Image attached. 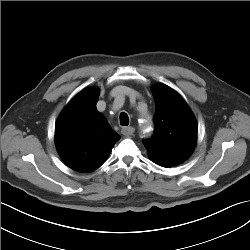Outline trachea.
Wrapping results in <instances>:
<instances>
[{
	"label": "trachea",
	"mask_w": 250,
	"mask_h": 250,
	"mask_svg": "<svg viewBox=\"0 0 250 250\" xmlns=\"http://www.w3.org/2000/svg\"><path fill=\"white\" fill-rule=\"evenodd\" d=\"M120 124L123 126L129 125V117L125 112L120 114Z\"/></svg>",
	"instance_id": "1"
}]
</instances>
